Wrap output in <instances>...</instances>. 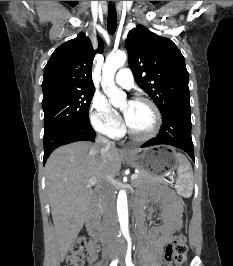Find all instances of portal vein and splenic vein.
Returning a JSON list of instances; mask_svg holds the SVG:
<instances>
[{
	"instance_id": "obj_1",
	"label": "portal vein and splenic vein",
	"mask_w": 233,
	"mask_h": 266,
	"mask_svg": "<svg viewBox=\"0 0 233 266\" xmlns=\"http://www.w3.org/2000/svg\"><path fill=\"white\" fill-rule=\"evenodd\" d=\"M137 177H138V174H132L131 180H135ZM96 183H97L96 179L91 178L88 180V185L90 186L95 185Z\"/></svg>"
}]
</instances>
